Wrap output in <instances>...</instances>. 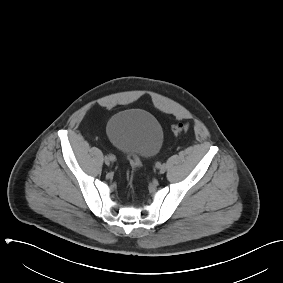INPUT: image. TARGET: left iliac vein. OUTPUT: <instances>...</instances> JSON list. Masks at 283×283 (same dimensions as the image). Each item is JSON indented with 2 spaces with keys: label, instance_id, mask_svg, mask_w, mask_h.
<instances>
[{
  "label": "left iliac vein",
  "instance_id": "left-iliac-vein-1",
  "mask_svg": "<svg viewBox=\"0 0 283 283\" xmlns=\"http://www.w3.org/2000/svg\"><path fill=\"white\" fill-rule=\"evenodd\" d=\"M158 169H159V172H160V173H164V172L166 171V166H165V165H160V166L158 167Z\"/></svg>",
  "mask_w": 283,
  "mask_h": 283
}]
</instances>
